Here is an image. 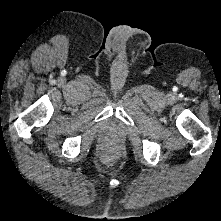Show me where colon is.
I'll return each mask as SVG.
<instances>
[{
  "mask_svg": "<svg viewBox=\"0 0 221 221\" xmlns=\"http://www.w3.org/2000/svg\"><path fill=\"white\" fill-rule=\"evenodd\" d=\"M117 153H118V148L116 145H111L109 148H108V151L107 153L105 154L104 156V161L105 162H111L113 161L116 156H117Z\"/></svg>",
  "mask_w": 221,
  "mask_h": 221,
  "instance_id": "5ec220e1",
  "label": "colon"
}]
</instances>
